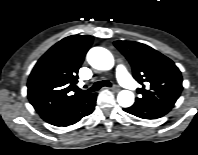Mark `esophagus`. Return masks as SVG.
Returning <instances> with one entry per match:
<instances>
[{"instance_id":"obj_1","label":"esophagus","mask_w":198,"mask_h":155,"mask_svg":"<svg viewBox=\"0 0 198 155\" xmlns=\"http://www.w3.org/2000/svg\"><path fill=\"white\" fill-rule=\"evenodd\" d=\"M112 91L114 92H118L120 90V87L118 85H114L112 88H111Z\"/></svg>"}]
</instances>
